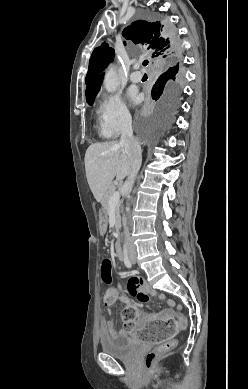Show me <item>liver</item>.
<instances>
[{
    "label": "liver",
    "instance_id": "obj_1",
    "mask_svg": "<svg viewBox=\"0 0 248 389\" xmlns=\"http://www.w3.org/2000/svg\"><path fill=\"white\" fill-rule=\"evenodd\" d=\"M85 171L95 199L103 200L116 177L122 181L130 173V159L117 141L91 144L85 153Z\"/></svg>",
    "mask_w": 248,
    "mask_h": 389
}]
</instances>
